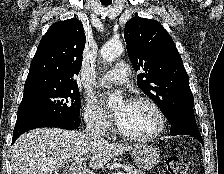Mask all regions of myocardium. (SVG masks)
<instances>
[{"instance_id": "f54148a6", "label": "myocardium", "mask_w": 224, "mask_h": 174, "mask_svg": "<svg viewBox=\"0 0 224 174\" xmlns=\"http://www.w3.org/2000/svg\"><path fill=\"white\" fill-rule=\"evenodd\" d=\"M128 103L147 104L150 106L157 116V127L151 133L144 135H133L122 131L117 125L116 131L120 137L130 141H148L158 137L163 132L166 124V118L159 105L153 99L146 96H136L131 98Z\"/></svg>"}]
</instances>
